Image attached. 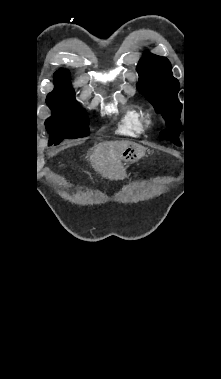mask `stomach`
<instances>
[{"label":"stomach","instance_id":"stomach-1","mask_svg":"<svg viewBox=\"0 0 221 379\" xmlns=\"http://www.w3.org/2000/svg\"><path fill=\"white\" fill-rule=\"evenodd\" d=\"M145 155V149L137 144H130L122 154L124 164L137 162Z\"/></svg>","mask_w":221,"mask_h":379}]
</instances>
